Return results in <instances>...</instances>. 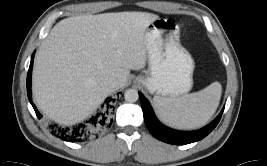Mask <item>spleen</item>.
<instances>
[{"label": "spleen", "mask_w": 267, "mask_h": 166, "mask_svg": "<svg viewBox=\"0 0 267 166\" xmlns=\"http://www.w3.org/2000/svg\"><path fill=\"white\" fill-rule=\"evenodd\" d=\"M222 87L214 82L203 90L179 98L154 97L160 119L175 128L195 129L205 125L215 113Z\"/></svg>", "instance_id": "obj_1"}]
</instances>
